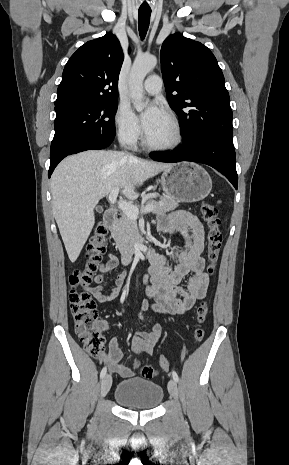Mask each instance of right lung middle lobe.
<instances>
[{
  "label": "right lung middle lobe",
  "mask_w": 289,
  "mask_h": 465,
  "mask_svg": "<svg viewBox=\"0 0 289 465\" xmlns=\"http://www.w3.org/2000/svg\"><path fill=\"white\" fill-rule=\"evenodd\" d=\"M118 99L79 101L55 106L50 160L84 141L114 139Z\"/></svg>",
  "instance_id": "1"
}]
</instances>
